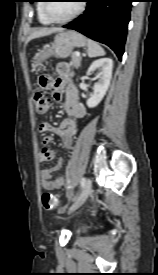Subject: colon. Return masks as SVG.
Returning <instances> with one entry per match:
<instances>
[{"mask_svg": "<svg viewBox=\"0 0 158 275\" xmlns=\"http://www.w3.org/2000/svg\"><path fill=\"white\" fill-rule=\"evenodd\" d=\"M49 79L41 77L38 80V88L34 91L33 99L35 110L38 114H45L51 107L54 94L49 91ZM42 204L46 210H55L59 208V199L56 195L45 192L42 194Z\"/></svg>", "mask_w": 158, "mask_h": 275, "instance_id": "1", "label": "colon"}]
</instances>
